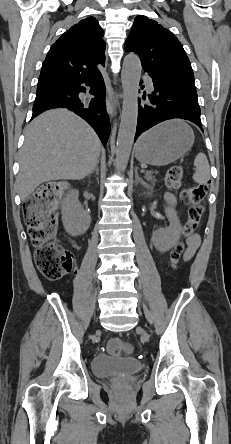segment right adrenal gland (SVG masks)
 <instances>
[{"mask_svg": "<svg viewBox=\"0 0 231 444\" xmlns=\"http://www.w3.org/2000/svg\"><path fill=\"white\" fill-rule=\"evenodd\" d=\"M98 164H99V163L97 162L95 168L90 172V175L93 174L94 172H96L97 175L99 174Z\"/></svg>", "mask_w": 231, "mask_h": 444, "instance_id": "2a0ac1e0", "label": "right adrenal gland"}]
</instances>
